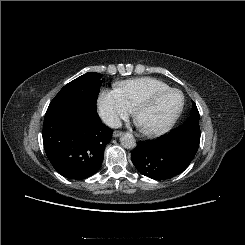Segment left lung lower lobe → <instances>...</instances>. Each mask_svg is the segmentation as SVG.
<instances>
[{
  "label": "left lung lower lobe",
  "instance_id": "0a47b994",
  "mask_svg": "<svg viewBox=\"0 0 245 245\" xmlns=\"http://www.w3.org/2000/svg\"><path fill=\"white\" fill-rule=\"evenodd\" d=\"M200 136L188 132H175L155 140L140 141L131 153L137 170L152 179H170L183 172L193 160Z\"/></svg>",
  "mask_w": 245,
  "mask_h": 245
}]
</instances>
